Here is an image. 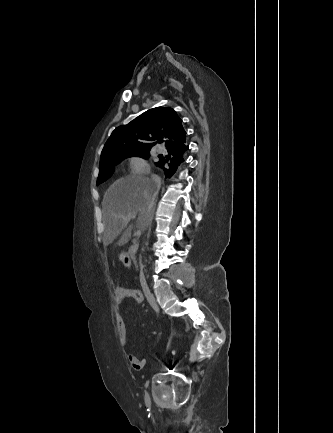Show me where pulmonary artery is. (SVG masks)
Listing matches in <instances>:
<instances>
[{
  "mask_svg": "<svg viewBox=\"0 0 333 433\" xmlns=\"http://www.w3.org/2000/svg\"><path fill=\"white\" fill-rule=\"evenodd\" d=\"M159 152H160V153H163V152H164L163 147H160V148H159Z\"/></svg>",
  "mask_w": 333,
  "mask_h": 433,
  "instance_id": "pulmonary-artery-1",
  "label": "pulmonary artery"
}]
</instances>
